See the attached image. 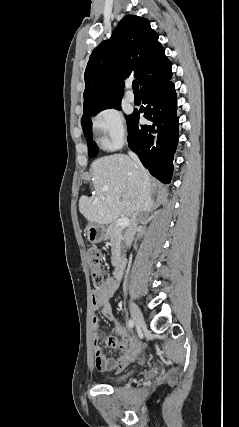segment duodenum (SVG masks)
<instances>
[{
    "label": "duodenum",
    "mask_w": 239,
    "mask_h": 427,
    "mask_svg": "<svg viewBox=\"0 0 239 427\" xmlns=\"http://www.w3.org/2000/svg\"><path fill=\"white\" fill-rule=\"evenodd\" d=\"M126 258L123 255H119L114 263L113 275L115 279H119L122 277L125 267H126Z\"/></svg>",
    "instance_id": "1"
}]
</instances>
